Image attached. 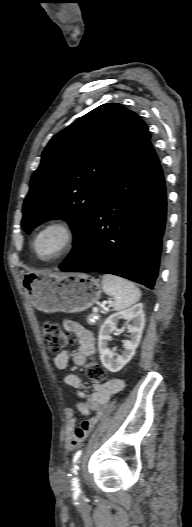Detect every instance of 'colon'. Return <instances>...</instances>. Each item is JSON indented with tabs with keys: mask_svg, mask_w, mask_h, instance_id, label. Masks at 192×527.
<instances>
[{
	"mask_svg": "<svg viewBox=\"0 0 192 527\" xmlns=\"http://www.w3.org/2000/svg\"><path fill=\"white\" fill-rule=\"evenodd\" d=\"M42 334L46 340L49 350L53 353L58 352L75 341V334L63 330L57 323L46 321L41 326ZM87 376L96 384L106 381V373L103 367L94 359L90 360L86 366Z\"/></svg>",
	"mask_w": 192,
	"mask_h": 527,
	"instance_id": "colon-1",
	"label": "colon"
}]
</instances>
